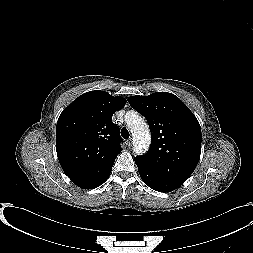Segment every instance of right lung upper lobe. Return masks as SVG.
<instances>
[{
    "label": "right lung upper lobe",
    "mask_w": 253,
    "mask_h": 253,
    "mask_svg": "<svg viewBox=\"0 0 253 253\" xmlns=\"http://www.w3.org/2000/svg\"><path fill=\"white\" fill-rule=\"evenodd\" d=\"M123 97L90 91L66 107L56 126L57 156L65 174L79 187L108 175L121 152L119 127L113 114L124 107Z\"/></svg>",
    "instance_id": "cb5924a9"
}]
</instances>
